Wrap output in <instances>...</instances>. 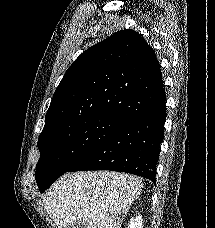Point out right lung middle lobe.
I'll return each instance as SVG.
<instances>
[{"label": "right lung middle lobe", "mask_w": 215, "mask_h": 228, "mask_svg": "<svg viewBox=\"0 0 215 228\" xmlns=\"http://www.w3.org/2000/svg\"><path fill=\"white\" fill-rule=\"evenodd\" d=\"M124 121L117 116H94L40 134V159L35 173L40 192L48 189Z\"/></svg>", "instance_id": "obj_1"}]
</instances>
